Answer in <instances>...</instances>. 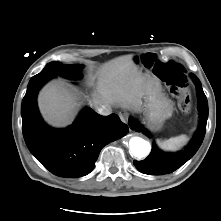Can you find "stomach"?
Masks as SVG:
<instances>
[{
	"mask_svg": "<svg viewBox=\"0 0 221 221\" xmlns=\"http://www.w3.org/2000/svg\"><path fill=\"white\" fill-rule=\"evenodd\" d=\"M140 111L144 114L147 126L154 131L161 128L163 122L171 117L173 113V105L171 101L162 92L159 81L153 80L144 97V103Z\"/></svg>",
	"mask_w": 221,
	"mask_h": 221,
	"instance_id": "0dacf381",
	"label": "stomach"
}]
</instances>
